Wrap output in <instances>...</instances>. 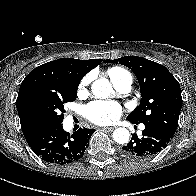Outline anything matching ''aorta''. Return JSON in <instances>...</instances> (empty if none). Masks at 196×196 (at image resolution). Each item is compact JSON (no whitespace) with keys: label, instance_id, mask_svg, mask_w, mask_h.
<instances>
[{"label":"aorta","instance_id":"762f6f07","mask_svg":"<svg viewBox=\"0 0 196 196\" xmlns=\"http://www.w3.org/2000/svg\"><path fill=\"white\" fill-rule=\"evenodd\" d=\"M91 90L92 93L100 99L108 98L113 92L111 83L105 78L94 81L92 83ZM129 138L130 133L126 128L120 127L115 129L113 132V139L118 144L128 143Z\"/></svg>","mask_w":196,"mask_h":196}]
</instances>
